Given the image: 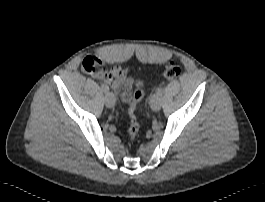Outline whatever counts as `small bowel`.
I'll use <instances>...</instances> for the list:
<instances>
[{"instance_id":"obj_1","label":"small bowel","mask_w":265,"mask_h":202,"mask_svg":"<svg viewBox=\"0 0 265 202\" xmlns=\"http://www.w3.org/2000/svg\"><path fill=\"white\" fill-rule=\"evenodd\" d=\"M106 66L107 64L102 58L91 54L83 59L80 69L87 75L105 81L123 100H130L133 93V83L126 71L117 64L112 65L109 71L98 69Z\"/></svg>"}]
</instances>
